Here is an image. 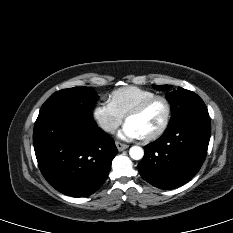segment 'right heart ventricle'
Masks as SVG:
<instances>
[{
	"instance_id": "obj_1",
	"label": "right heart ventricle",
	"mask_w": 233,
	"mask_h": 233,
	"mask_svg": "<svg viewBox=\"0 0 233 233\" xmlns=\"http://www.w3.org/2000/svg\"><path fill=\"white\" fill-rule=\"evenodd\" d=\"M155 95L154 91L145 88L126 86L112 91L109 102L122 117H125L130 110Z\"/></svg>"
}]
</instances>
